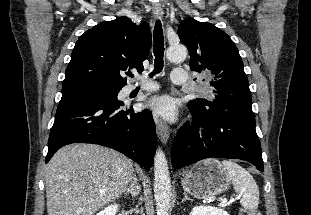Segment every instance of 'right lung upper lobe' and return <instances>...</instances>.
<instances>
[{
	"label": "right lung upper lobe",
	"instance_id": "right-lung-upper-lobe-1",
	"mask_svg": "<svg viewBox=\"0 0 311 215\" xmlns=\"http://www.w3.org/2000/svg\"><path fill=\"white\" fill-rule=\"evenodd\" d=\"M150 48L146 22L137 26L126 16L101 22L76 42L63 86L92 83L122 88L127 83L121 71L135 68L142 72Z\"/></svg>",
	"mask_w": 311,
	"mask_h": 215
}]
</instances>
